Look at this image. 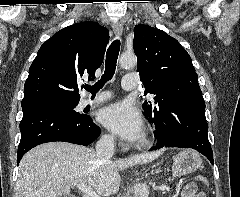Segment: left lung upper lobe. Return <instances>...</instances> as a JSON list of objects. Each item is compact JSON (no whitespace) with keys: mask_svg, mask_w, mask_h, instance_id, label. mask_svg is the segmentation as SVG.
Segmentation results:
<instances>
[{"mask_svg":"<svg viewBox=\"0 0 240 197\" xmlns=\"http://www.w3.org/2000/svg\"><path fill=\"white\" fill-rule=\"evenodd\" d=\"M133 46L145 94H153L155 100L143 103L147 118L177 108L186 97L203 99L191 57L176 39L157 28L138 24Z\"/></svg>","mask_w":240,"mask_h":197,"instance_id":"left-lung-upper-lobe-1","label":"left lung upper lobe"}]
</instances>
